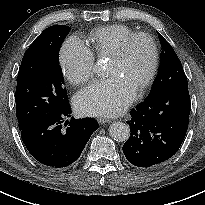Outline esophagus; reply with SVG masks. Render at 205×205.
Returning <instances> with one entry per match:
<instances>
[{
	"instance_id": "1",
	"label": "esophagus",
	"mask_w": 205,
	"mask_h": 205,
	"mask_svg": "<svg viewBox=\"0 0 205 205\" xmlns=\"http://www.w3.org/2000/svg\"><path fill=\"white\" fill-rule=\"evenodd\" d=\"M97 122L99 124H105V123H108L109 120L108 119H104V118H97Z\"/></svg>"
}]
</instances>
